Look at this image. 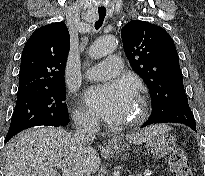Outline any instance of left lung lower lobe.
Here are the masks:
<instances>
[{
  "label": "left lung lower lobe",
  "instance_id": "0a47b994",
  "mask_svg": "<svg viewBox=\"0 0 205 176\" xmlns=\"http://www.w3.org/2000/svg\"><path fill=\"white\" fill-rule=\"evenodd\" d=\"M165 122L185 124L196 131V124L188 104L187 95L178 98L174 103L165 108L152 111L150 118L142 127Z\"/></svg>",
  "mask_w": 205,
  "mask_h": 176
}]
</instances>
